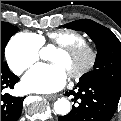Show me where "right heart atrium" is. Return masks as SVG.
Returning a JSON list of instances; mask_svg holds the SVG:
<instances>
[{
    "label": "right heart atrium",
    "instance_id": "d8ad5b80",
    "mask_svg": "<svg viewBox=\"0 0 121 121\" xmlns=\"http://www.w3.org/2000/svg\"><path fill=\"white\" fill-rule=\"evenodd\" d=\"M41 45L27 33L14 35L8 42L5 56L9 67L16 73H22L39 58Z\"/></svg>",
    "mask_w": 121,
    "mask_h": 121
}]
</instances>
